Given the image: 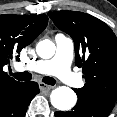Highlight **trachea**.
<instances>
[{
    "instance_id": "obj_1",
    "label": "trachea",
    "mask_w": 117,
    "mask_h": 117,
    "mask_svg": "<svg viewBox=\"0 0 117 117\" xmlns=\"http://www.w3.org/2000/svg\"><path fill=\"white\" fill-rule=\"evenodd\" d=\"M11 75L20 81H29L32 79V75L29 72H21V73H12ZM42 81L48 85H55L56 80L52 77H43Z\"/></svg>"
}]
</instances>
